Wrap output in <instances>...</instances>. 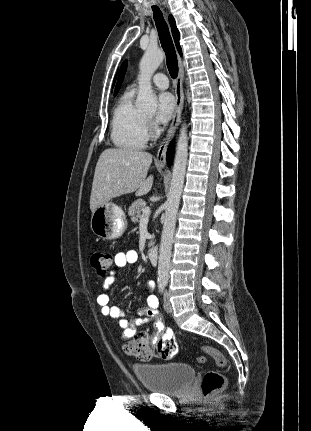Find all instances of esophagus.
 Returning a JSON list of instances; mask_svg holds the SVG:
<instances>
[{"mask_svg":"<svg viewBox=\"0 0 311 431\" xmlns=\"http://www.w3.org/2000/svg\"><path fill=\"white\" fill-rule=\"evenodd\" d=\"M178 63H179V72L176 80V86H175V98H176V104H175V110L172 116V121L169 126L167 135L165 138H163L162 142L159 145L157 156L155 162L161 166H164L166 163V153L167 148L170 143V141L174 138L175 132L180 124V117L181 112L183 108V101H184V92H183V73H184V67L183 63L181 61V58L178 57Z\"/></svg>","mask_w":311,"mask_h":431,"instance_id":"esophagus-1","label":"esophagus"}]
</instances>
